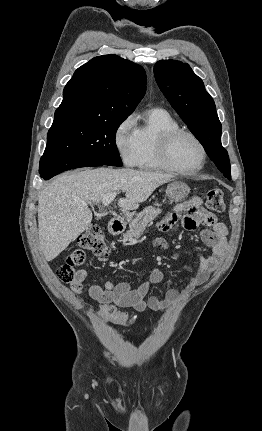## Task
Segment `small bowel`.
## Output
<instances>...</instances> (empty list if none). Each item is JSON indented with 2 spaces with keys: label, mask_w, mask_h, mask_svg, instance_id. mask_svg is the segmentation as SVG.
<instances>
[{
  "label": "small bowel",
  "mask_w": 262,
  "mask_h": 431,
  "mask_svg": "<svg viewBox=\"0 0 262 431\" xmlns=\"http://www.w3.org/2000/svg\"><path fill=\"white\" fill-rule=\"evenodd\" d=\"M190 208L194 212L181 219L183 226L188 230L195 229L199 225L207 227L208 229L202 232V240L212 249L210 256L198 255L199 263L195 275L182 288L168 291L164 301L149 293L150 285L159 282L162 278L160 270H154L149 280L136 288H133L128 282L107 281L103 287L90 284L87 288L88 294L99 303L103 315L112 311L116 312L117 309L121 308H133L137 311L151 309L164 312L167 307L175 306L184 301L198 286L206 282L211 273L221 266L228 250L227 227L212 212L204 208L203 198L194 197L168 211L160 223V229L162 231L171 229L179 220L180 212ZM160 245L162 248H166L164 243ZM71 290L75 294H80L82 286L74 284L71 286Z\"/></svg>",
  "instance_id": "1"
}]
</instances>
